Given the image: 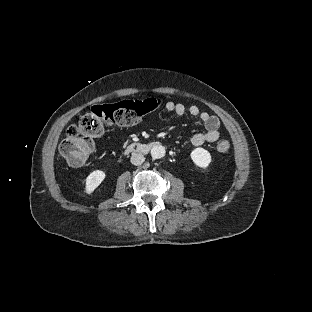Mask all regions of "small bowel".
Here are the masks:
<instances>
[{
    "instance_id": "c3829d8e",
    "label": "small bowel",
    "mask_w": 312,
    "mask_h": 312,
    "mask_svg": "<svg viewBox=\"0 0 312 312\" xmlns=\"http://www.w3.org/2000/svg\"><path fill=\"white\" fill-rule=\"evenodd\" d=\"M165 108L169 112L175 113L179 117L189 114L193 117H198L206 128V132L196 133L191 138V143L194 146H200L204 143H212L220 138V120L206 112L202 111L197 105L186 107L179 102L168 101Z\"/></svg>"
}]
</instances>
